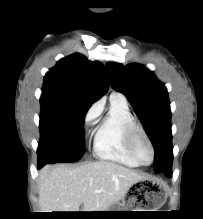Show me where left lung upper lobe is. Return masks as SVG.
<instances>
[{"instance_id": "5c2ea615", "label": "left lung upper lobe", "mask_w": 203, "mask_h": 219, "mask_svg": "<svg viewBox=\"0 0 203 219\" xmlns=\"http://www.w3.org/2000/svg\"><path fill=\"white\" fill-rule=\"evenodd\" d=\"M106 69L112 88L126 95L144 125L155 150V170L172 165L171 111L164 84L139 64L110 62Z\"/></svg>"}]
</instances>
